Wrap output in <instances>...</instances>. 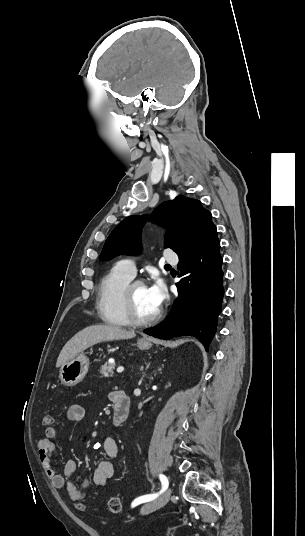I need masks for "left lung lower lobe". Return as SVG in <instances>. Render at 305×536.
I'll list each match as a JSON object with an SVG mask.
<instances>
[{
	"label": "left lung lower lobe",
	"instance_id": "1",
	"mask_svg": "<svg viewBox=\"0 0 305 536\" xmlns=\"http://www.w3.org/2000/svg\"><path fill=\"white\" fill-rule=\"evenodd\" d=\"M217 229H210L194 248L179 256L178 297L167 318L144 333L161 339L194 336L208 350L215 335L224 296L222 257Z\"/></svg>",
	"mask_w": 305,
	"mask_h": 536
}]
</instances>
